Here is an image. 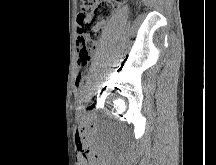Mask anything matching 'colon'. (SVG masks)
<instances>
[{"mask_svg":"<svg viewBox=\"0 0 216 165\" xmlns=\"http://www.w3.org/2000/svg\"><path fill=\"white\" fill-rule=\"evenodd\" d=\"M116 0H81L77 16L78 62L86 64L94 43L99 39L106 22L114 10Z\"/></svg>","mask_w":216,"mask_h":165,"instance_id":"5ec220e1","label":"colon"}]
</instances>
